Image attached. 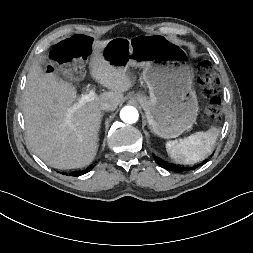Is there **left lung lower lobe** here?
<instances>
[{"label":"left lung lower lobe","instance_id":"left-lung-lower-lobe-1","mask_svg":"<svg viewBox=\"0 0 253 253\" xmlns=\"http://www.w3.org/2000/svg\"><path fill=\"white\" fill-rule=\"evenodd\" d=\"M154 159L158 163V165H160L162 168H165L167 170H171V171H174V172H177V173L184 171L183 168H179V167H177V166H175V165H173L171 163L163 161L160 158L154 157Z\"/></svg>","mask_w":253,"mask_h":253}]
</instances>
